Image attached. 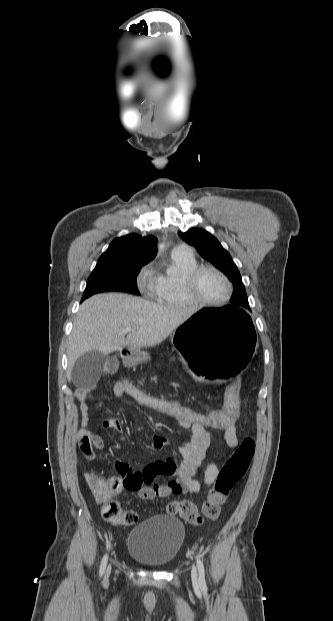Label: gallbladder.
<instances>
[{
	"label": "gallbladder",
	"instance_id": "bac80fb5",
	"mask_svg": "<svg viewBox=\"0 0 333 621\" xmlns=\"http://www.w3.org/2000/svg\"><path fill=\"white\" fill-rule=\"evenodd\" d=\"M107 356L98 351H90L81 355L71 372L72 382L77 387L95 385L101 376Z\"/></svg>",
	"mask_w": 333,
	"mask_h": 621
}]
</instances>
